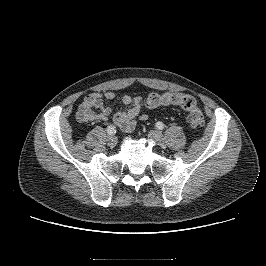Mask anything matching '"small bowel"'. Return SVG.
<instances>
[{
    "instance_id": "small-bowel-1",
    "label": "small bowel",
    "mask_w": 266,
    "mask_h": 266,
    "mask_svg": "<svg viewBox=\"0 0 266 266\" xmlns=\"http://www.w3.org/2000/svg\"><path fill=\"white\" fill-rule=\"evenodd\" d=\"M115 98L113 91L92 92L86 95L78 107L77 120L83 124L112 120L122 130L133 131L139 120L147 119V115L142 112L143 103L140 96H122L121 104L124 108L113 113L111 108L104 105V100L111 101Z\"/></svg>"
}]
</instances>
